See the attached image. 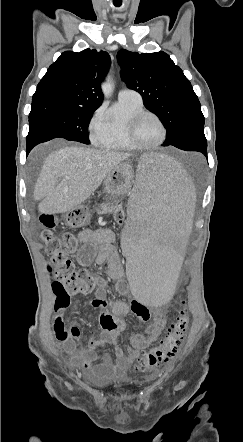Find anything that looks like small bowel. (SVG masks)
I'll use <instances>...</instances> for the list:
<instances>
[{"instance_id":"c3829d8e","label":"small bowel","mask_w":243,"mask_h":442,"mask_svg":"<svg viewBox=\"0 0 243 442\" xmlns=\"http://www.w3.org/2000/svg\"><path fill=\"white\" fill-rule=\"evenodd\" d=\"M78 239L84 247L77 254L80 265L107 264L108 276L116 282V289L120 294L129 292L128 281L125 280L124 267L119 255L113 246L115 234L110 228L96 230L84 229L78 233ZM98 287L94 291V299L89 305L100 310L98 320L101 332L92 336L86 347L77 350L76 344L80 339L79 328L65 319L66 308H56V317L53 328L57 340L62 344L67 362L74 368L81 369L85 377L95 383H105L122 376L127 368L138 358L141 351L147 348L161 334L165 327V319L160 309L155 308L151 313L147 307H141L140 302L113 301L107 298L103 278L98 279ZM141 321L151 320L143 333L133 334L130 337L131 346L124 350L119 343L118 336L125 329L124 317L130 312ZM78 312V308L71 311V315ZM110 344L113 347V357L110 353L96 354V349Z\"/></svg>"}]
</instances>
